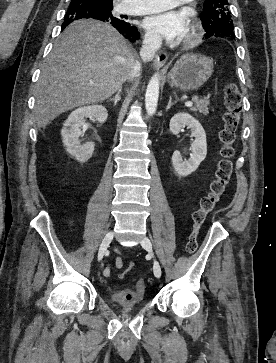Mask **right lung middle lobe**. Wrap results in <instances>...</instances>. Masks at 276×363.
Instances as JSON below:
<instances>
[{
  "instance_id": "right-lung-middle-lobe-1",
  "label": "right lung middle lobe",
  "mask_w": 276,
  "mask_h": 363,
  "mask_svg": "<svg viewBox=\"0 0 276 363\" xmlns=\"http://www.w3.org/2000/svg\"><path fill=\"white\" fill-rule=\"evenodd\" d=\"M78 7L91 8L104 19L113 18L112 16L113 5L102 3L96 0H71L68 10L76 9Z\"/></svg>"
}]
</instances>
